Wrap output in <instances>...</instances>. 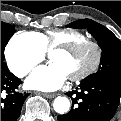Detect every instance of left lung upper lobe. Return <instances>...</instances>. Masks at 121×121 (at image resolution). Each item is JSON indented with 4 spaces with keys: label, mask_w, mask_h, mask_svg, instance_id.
I'll use <instances>...</instances> for the list:
<instances>
[{
    "label": "left lung upper lobe",
    "mask_w": 121,
    "mask_h": 121,
    "mask_svg": "<svg viewBox=\"0 0 121 121\" xmlns=\"http://www.w3.org/2000/svg\"><path fill=\"white\" fill-rule=\"evenodd\" d=\"M68 26L76 29H87L96 38L102 49L99 70L84 80L103 79L121 86L120 40L109 29L90 19L78 20Z\"/></svg>",
    "instance_id": "5c2ea615"
}]
</instances>
